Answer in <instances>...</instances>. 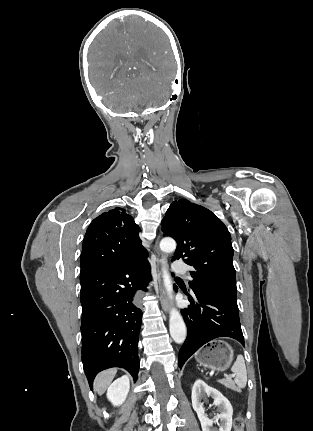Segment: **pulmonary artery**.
Here are the masks:
<instances>
[{
  "mask_svg": "<svg viewBox=\"0 0 313 431\" xmlns=\"http://www.w3.org/2000/svg\"><path fill=\"white\" fill-rule=\"evenodd\" d=\"M172 269L176 273L185 274L187 272V267L182 261H175L172 265Z\"/></svg>",
  "mask_w": 313,
  "mask_h": 431,
  "instance_id": "pulmonary-artery-1",
  "label": "pulmonary artery"
}]
</instances>
